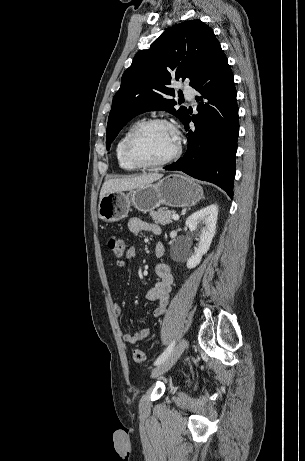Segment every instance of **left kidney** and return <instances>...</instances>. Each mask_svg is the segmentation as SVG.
Instances as JSON below:
<instances>
[{
    "instance_id": "left-kidney-1",
    "label": "left kidney",
    "mask_w": 305,
    "mask_h": 461,
    "mask_svg": "<svg viewBox=\"0 0 305 461\" xmlns=\"http://www.w3.org/2000/svg\"><path fill=\"white\" fill-rule=\"evenodd\" d=\"M217 219L216 204L206 206L187 218L186 226L191 232H197L200 238L198 245L194 247V253L187 259V268H195L201 262L202 256L209 250L216 232Z\"/></svg>"
}]
</instances>
